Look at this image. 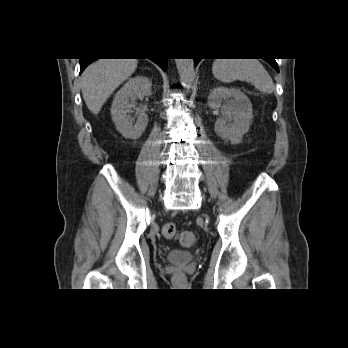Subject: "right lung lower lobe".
Instances as JSON below:
<instances>
[{"label": "right lung lower lobe", "instance_id": "1", "mask_svg": "<svg viewBox=\"0 0 348 348\" xmlns=\"http://www.w3.org/2000/svg\"><path fill=\"white\" fill-rule=\"evenodd\" d=\"M96 59H89V58H84L80 59V74L83 72V70L93 61ZM156 64H158L164 71H166L167 67V59L166 58H159V59H152Z\"/></svg>", "mask_w": 348, "mask_h": 348}]
</instances>
